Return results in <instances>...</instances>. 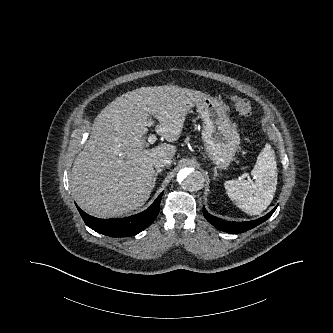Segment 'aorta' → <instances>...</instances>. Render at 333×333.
Returning a JSON list of instances; mask_svg holds the SVG:
<instances>
[{
    "mask_svg": "<svg viewBox=\"0 0 333 333\" xmlns=\"http://www.w3.org/2000/svg\"><path fill=\"white\" fill-rule=\"evenodd\" d=\"M177 181L188 192H197L204 186L202 173L191 168L181 169L177 174Z\"/></svg>",
    "mask_w": 333,
    "mask_h": 333,
    "instance_id": "762f6f07",
    "label": "aorta"
}]
</instances>
